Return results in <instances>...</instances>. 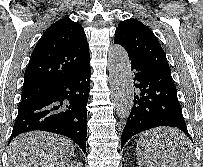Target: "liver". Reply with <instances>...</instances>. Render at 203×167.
Masks as SVG:
<instances>
[{"label":"liver","instance_id":"1","mask_svg":"<svg viewBox=\"0 0 203 167\" xmlns=\"http://www.w3.org/2000/svg\"><path fill=\"white\" fill-rule=\"evenodd\" d=\"M179 134L172 128H156L147 131L142 136L153 148L159 160H166L170 145ZM74 146L68 138L43 132L32 131L17 136L9 145L6 167H66L74 156ZM171 162V166L186 165L182 158Z\"/></svg>","mask_w":203,"mask_h":167}]
</instances>
